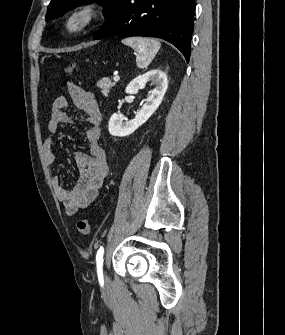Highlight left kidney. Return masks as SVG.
Returning <instances> with one entry per match:
<instances>
[{
	"mask_svg": "<svg viewBox=\"0 0 285 335\" xmlns=\"http://www.w3.org/2000/svg\"><path fill=\"white\" fill-rule=\"evenodd\" d=\"M147 82H152L155 88L152 90L150 96H148L146 104L142 106L140 112H137L134 120H130V122H123V118L119 114H113L108 126L111 136H120V138L130 136L137 128L145 124L148 118L159 108L168 88L167 76L161 70H150V72L134 78L128 84L125 92L126 94H137V90H143Z\"/></svg>",
	"mask_w": 285,
	"mask_h": 335,
	"instance_id": "5707ae66",
	"label": "left kidney"
}]
</instances>
